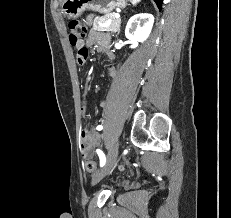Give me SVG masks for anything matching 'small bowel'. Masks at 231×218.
I'll list each match as a JSON object with an SVG mask.
<instances>
[{
    "label": "small bowel",
    "instance_id": "c3829d8e",
    "mask_svg": "<svg viewBox=\"0 0 231 218\" xmlns=\"http://www.w3.org/2000/svg\"><path fill=\"white\" fill-rule=\"evenodd\" d=\"M91 20V17L88 19ZM86 46H96L99 51L104 52L108 55V57L112 58L114 55L109 49V39L106 35L101 34L97 31H91L88 38L85 42L76 45L77 50L81 49L82 47ZM77 65L84 66L88 65V58H77ZM109 74L114 77L116 72L115 69L110 67L108 69ZM107 106V102L104 100L100 103L101 108H105ZM83 112H87V103L84 102L83 104ZM100 141V137L97 135L90 136L87 131H84L81 139H80V149L81 154L84 158H89L93 155L95 146Z\"/></svg>",
    "mask_w": 231,
    "mask_h": 218
}]
</instances>
